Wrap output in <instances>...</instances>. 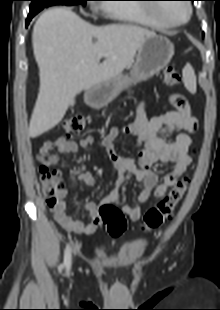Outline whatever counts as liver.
<instances>
[{
  "mask_svg": "<svg viewBox=\"0 0 220 310\" xmlns=\"http://www.w3.org/2000/svg\"><path fill=\"white\" fill-rule=\"evenodd\" d=\"M155 32L128 24L94 26L68 8H52L37 19L32 35L40 87L28 134L54 128L74 97L121 75ZM104 61L98 63V55Z\"/></svg>",
  "mask_w": 220,
  "mask_h": 310,
  "instance_id": "liver-1",
  "label": "liver"
}]
</instances>
